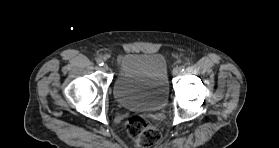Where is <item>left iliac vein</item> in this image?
<instances>
[{"mask_svg": "<svg viewBox=\"0 0 279 148\" xmlns=\"http://www.w3.org/2000/svg\"><path fill=\"white\" fill-rule=\"evenodd\" d=\"M180 72H181V69H180L179 67H175V68L173 69V71H172V73H173L174 76L179 75Z\"/></svg>", "mask_w": 279, "mask_h": 148, "instance_id": "4c4485c4", "label": "left iliac vein"}]
</instances>
